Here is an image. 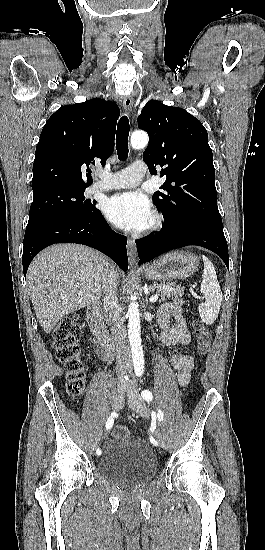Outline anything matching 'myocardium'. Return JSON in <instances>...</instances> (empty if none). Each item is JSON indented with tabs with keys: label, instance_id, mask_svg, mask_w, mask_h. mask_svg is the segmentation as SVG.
<instances>
[{
	"label": "myocardium",
	"instance_id": "myocardium-1",
	"mask_svg": "<svg viewBox=\"0 0 265 550\" xmlns=\"http://www.w3.org/2000/svg\"><path fill=\"white\" fill-rule=\"evenodd\" d=\"M163 224V218L160 214L154 213L151 217V221L145 228L146 232H153L161 228Z\"/></svg>",
	"mask_w": 265,
	"mask_h": 550
}]
</instances>
